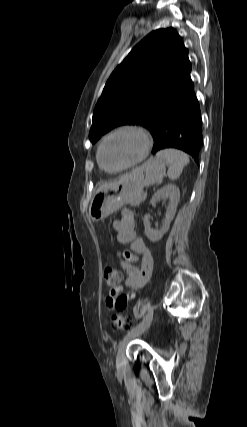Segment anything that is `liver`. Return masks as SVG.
<instances>
[{"mask_svg":"<svg viewBox=\"0 0 247 427\" xmlns=\"http://www.w3.org/2000/svg\"><path fill=\"white\" fill-rule=\"evenodd\" d=\"M127 177V175H124V176H122L121 178H120V180H122V179H124V178H126ZM119 180V181H120ZM119 181H117V182H119ZM117 182H112V183H106V184H103L99 189H101V188H105V187H111V186H114Z\"/></svg>","mask_w":247,"mask_h":427,"instance_id":"obj_1","label":"liver"}]
</instances>
